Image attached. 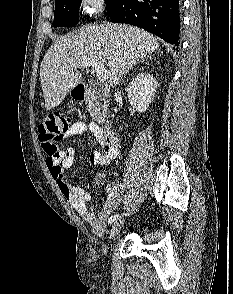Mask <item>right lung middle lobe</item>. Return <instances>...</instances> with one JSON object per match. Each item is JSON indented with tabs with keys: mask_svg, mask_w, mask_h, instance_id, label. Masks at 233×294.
<instances>
[{
	"mask_svg": "<svg viewBox=\"0 0 233 294\" xmlns=\"http://www.w3.org/2000/svg\"><path fill=\"white\" fill-rule=\"evenodd\" d=\"M116 0H105L107 12ZM82 0H55L54 28L70 27L78 23Z\"/></svg>",
	"mask_w": 233,
	"mask_h": 294,
	"instance_id": "dd1d6c3e",
	"label": "right lung middle lobe"
}]
</instances>
